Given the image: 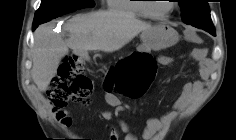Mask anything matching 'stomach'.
Here are the masks:
<instances>
[{"instance_id":"obj_1","label":"stomach","mask_w":236,"mask_h":140,"mask_svg":"<svg viewBox=\"0 0 236 140\" xmlns=\"http://www.w3.org/2000/svg\"><path fill=\"white\" fill-rule=\"evenodd\" d=\"M143 50L158 51L175 45L179 41L178 32L166 23H160L142 35Z\"/></svg>"}]
</instances>
